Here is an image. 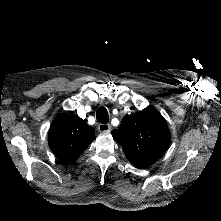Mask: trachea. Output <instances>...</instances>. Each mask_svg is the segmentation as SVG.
<instances>
[{"instance_id": "3493384b", "label": "trachea", "mask_w": 221, "mask_h": 221, "mask_svg": "<svg viewBox=\"0 0 221 221\" xmlns=\"http://www.w3.org/2000/svg\"><path fill=\"white\" fill-rule=\"evenodd\" d=\"M96 119L99 123L106 124L109 121L108 111L105 107H99L96 112Z\"/></svg>"}]
</instances>
